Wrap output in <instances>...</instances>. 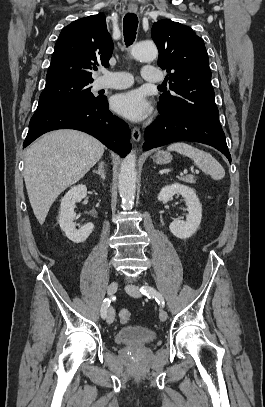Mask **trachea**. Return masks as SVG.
Segmentation results:
<instances>
[{"label":"trachea","mask_w":265,"mask_h":407,"mask_svg":"<svg viewBox=\"0 0 265 407\" xmlns=\"http://www.w3.org/2000/svg\"><path fill=\"white\" fill-rule=\"evenodd\" d=\"M138 18L134 13H127L123 19L124 40L127 46L131 45L136 38Z\"/></svg>","instance_id":"3493384b"}]
</instances>
